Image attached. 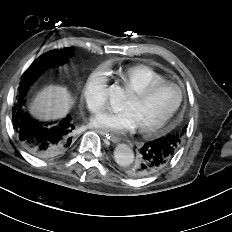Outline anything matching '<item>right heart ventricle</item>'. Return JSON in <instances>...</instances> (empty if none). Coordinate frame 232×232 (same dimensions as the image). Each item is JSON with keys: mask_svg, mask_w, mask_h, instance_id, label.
<instances>
[{"mask_svg": "<svg viewBox=\"0 0 232 232\" xmlns=\"http://www.w3.org/2000/svg\"><path fill=\"white\" fill-rule=\"evenodd\" d=\"M115 74L129 91L140 89L151 83L165 81L160 73L142 64L121 68Z\"/></svg>", "mask_w": 232, "mask_h": 232, "instance_id": "obj_1", "label": "right heart ventricle"}]
</instances>
